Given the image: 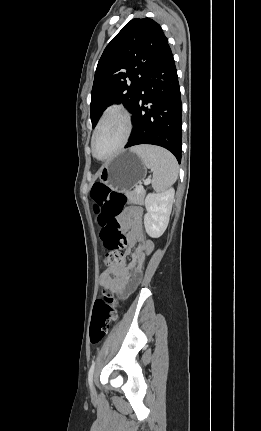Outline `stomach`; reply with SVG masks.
I'll list each match as a JSON object with an SVG mask.
<instances>
[{
  "label": "stomach",
  "instance_id": "obj_1",
  "mask_svg": "<svg viewBox=\"0 0 261 431\" xmlns=\"http://www.w3.org/2000/svg\"><path fill=\"white\" fill-rule=\"evenodd\" d=\"M145 176L146 166L132 149L118 153L99 172L101 182L122 192L134 188Z\"/></svg>",
  "mask_w": 261,
  "mask_h": 431
}]
</instances>
